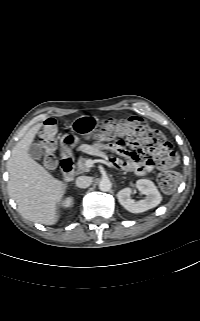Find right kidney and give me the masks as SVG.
<instances>
[{
  "instance_id": "ca27d5eb",
  "label": "right kidney",
  "mask_w": 200,
  "mask_h": 321,
  "mask_svg": "<svg viewBox=\"0 0 200 321\" xmlns=\"http://www.w3.org/2000/svg\"><path fill=\"white\" fill-rule=\"evenodd\" d=\"M72 198L71 197H68L66 198V200L63 202V206L64 207H70L72 205Z\"/></svg>"
}]
</instances>
